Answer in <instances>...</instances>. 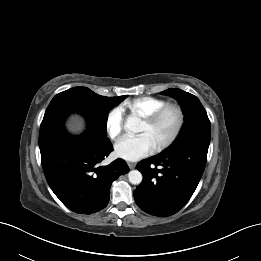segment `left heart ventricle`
Segmentation results:
<instances>
[{"instance_id": "1", "label": "left heart ventricle", "mask_w": 261, "mask_h": 261, "mask_svg": "<svg viewBox=\"0 0 261 261\" xmlns=\"http://www.w3.org/2000/svg\"><path fill=\"white\" fill-rule=\"evenodd\" d=\"M175 125V115L173 113L166 114L158 123L148 125L144 122L139 124L137 132L147 135L153 146L163 141L173 130Z\"/></svg>"}]
</instances>
